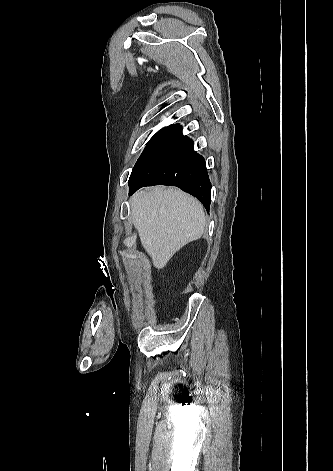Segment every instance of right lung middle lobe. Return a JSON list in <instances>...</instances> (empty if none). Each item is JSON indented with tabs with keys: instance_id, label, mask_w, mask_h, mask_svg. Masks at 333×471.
<instances>
[{
	"instance_id": "dd1d6c3e",
	"label": "right lung middle lobe",
	"mask_w": 333,
	"mask_h": 471,
	"mask_svg": "<svg viewBox=\"0 0 333 471\" xmlns=\"http://www.w3.org/2000/svg\"><path fill=\"white\" fill-rule=\"evenodd\" d=\"M171 126H173V125H170V126H168V127H165V128H163V129H161L160 131H158V132L150 139V141L147 143L146 148H147L157 137H159L163 132H165V131H166L167 129H169ZM146 148H145V149H146Z\"/></svg>"
}]
</instances>
